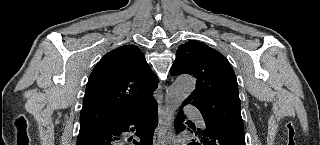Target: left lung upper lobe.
Listing matches in <instances>:
<instances>
[{"instance_id": "5c2ea615", "label": "left lung upper lobe", "mask_w": 320, "mask_h": 145, "mask_svg": "<svg viewBox=\"0 0 320 145\" xmlns=\"http://www.w3.org/2000/svg\"><path fill=\"white\" fill-rule=\"evenodd\" d=\"M170 73L191 74L197 79L196 88L185 102L199 109L206 127L244 131L236 76L221 53L203 42L189 40L177 49Z\"/></svg>"}]
</instances>
